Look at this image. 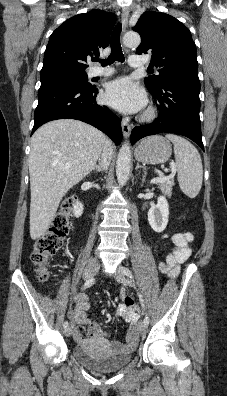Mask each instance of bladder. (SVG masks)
<instances>
[{
    "mask_svg": "<svg viewBox=\"0 0 227 396\" xmlns=\"http://www.w3.org/2000/svg\"><path fill=\"white\" fill-rule=\"evenodd\" d=\"M72 353L76 361L94 372L119 370L132 359V352L105 354L92 342H85L74 346Z\"/></svg>",
    "mask_w": 227,
    "mask_h": 396,
    "instance_id": "31cf9c89",
    "label": "bladder"
}]
</instances>
